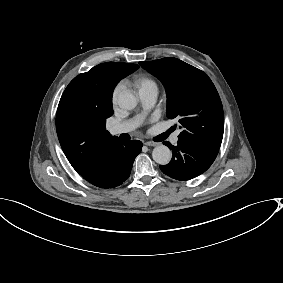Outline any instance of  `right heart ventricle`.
Masks as SVG:
<instances>
[{
	"mask_svg": "<svg viewBox=\"0 0 283 283\" xmlns=\"http://www.w3.org/2000/svg\"><path fill=\"white\" fill-rule=\"evenodd\" d=\"M127 81L133 84L139 91L149 87L157 88L155 81L141 72L134 73Z\"/></svg>",
	"mask_w": 283,
	"mask_h": 283,
	"instance_id": "obj_1",
	"label": "right heart ventricle"
}]
</instances>
